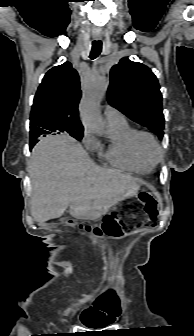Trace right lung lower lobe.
Here are the masks:
<instances>
[{
  "mask_svg": "<svg viewBox=\"0 0 194 336\" xmlns=\"http://www.w3.org/2000/svg\"><path fill=\"white\" fill-rule=\"evenodd\" d=\"M33 146H34V145H31V144H30V148H32Z\"/></svg>",
  "mask_w": 194,
  "mask_h": 336,
  "instance_id": "right-lung-lower-lobe-1",
  "label": "right lung lower lobe"
}]
</instances>
